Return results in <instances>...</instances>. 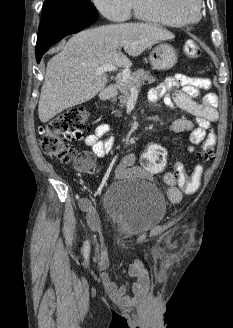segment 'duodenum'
I'll use <instances>...</instances> for the list:
<instances>
[{
	"label": "duodenum",
	"mask_w": 233,
	"mask_h": 328,
	"mask_svg": "<svg viewBox=\"0 0 233 328\" xmlns=\"http://www.w3.org/2000/svg\"><path fill=\"white\" fill-rule=\"evenodd\" d=\"M117 86L115 84H111L107 87H105L101 92H100V99L102 101L109 100L110 98L113 97V95L116 93Z\"/></svg>",
	"instance_id": "duodenum-1"
}]
</instances>
